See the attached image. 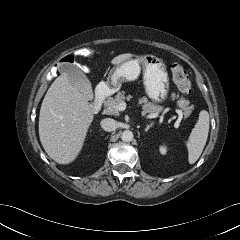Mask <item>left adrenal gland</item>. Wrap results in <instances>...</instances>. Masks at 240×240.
<instances>
[{
  "label": "left adrenal gland",
  "instance_id": "left-adrenal-gland-1",
  "mask_svg": "<svg viewBox=\"0 0 240 240\" xmlns=\"http://www.w3.org/2000/svg\"><path fill=\"white\" fill-rule=\"evenodd\" d=\"M153 126V124L151 123V124H149V125H147L146 126V128H145V132H147L151 127Z\"/></svg>",
  "mask_w": 240,
  "mask_h": 240
}]
</instances>
